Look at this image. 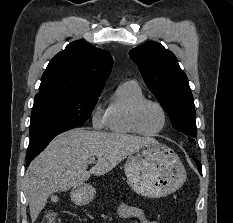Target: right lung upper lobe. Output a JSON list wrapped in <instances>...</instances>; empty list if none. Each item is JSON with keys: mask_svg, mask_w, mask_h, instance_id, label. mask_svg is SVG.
<instances>
[{"mask_svg": "<svg viewBox=\"0 0 233 223\" xmlns=\"http://www.w3.org/2000/svg\"><path fill=\"white\" fill-rule=\"evenodd\" d=\"M109 52L86 41H74L52 58L42 75L39 93L100 94L111 72Z\"/></svg>", "mask_w": 233, "mask_h": 223, "instance_id": "cb5924a9", "label": "right lung upper lobe"}]
</instances>
